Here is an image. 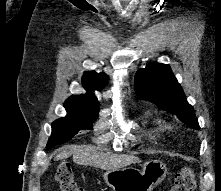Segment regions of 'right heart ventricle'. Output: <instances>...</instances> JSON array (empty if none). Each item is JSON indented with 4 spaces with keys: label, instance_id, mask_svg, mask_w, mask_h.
I'll return each instance as SVG.
<instances>
[{
    "label": "right heart ventricle",
    "instance_id": "right-heart-ventricle-1",
    "mask_svg": "<svg viewBox=\"0 0 221 191\" xmlns=\"http://www.w3.org/2000/svg\"><path fill=\"white\" fill-rule=\"evenodd\" d=\"M157 128L161 131H169L171 129V124L165 118L157 117L155 120Z\"/></svg>",
    "mask_w": 221,
    "mask_h": 191
}]
</instances>
